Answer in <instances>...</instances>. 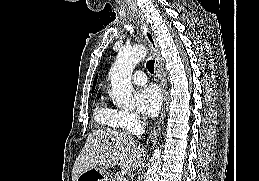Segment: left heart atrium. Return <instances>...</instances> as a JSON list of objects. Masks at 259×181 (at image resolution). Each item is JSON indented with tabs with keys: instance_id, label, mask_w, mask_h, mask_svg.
I'll list each match as a JSON object with an SVG mask.
<instances>
[{
	"instance_id": "left-heart-atrium-1",
	"label": "left heart atrium",
	"mask_w": 259,
	"mask_h": 181,
	"mask_svg": "<svg viewBox=\"0 0 259 181\" xmlns=\"http://www.w3.org/2000/svg\"><path fill=\"white\" fill-rule=\"evenodd\" d=\"M135 101L138 111L146 118L156 116L162 105V94L155 85H148L141 88L135 94Z\"/></svg>"
}]
</instances>
